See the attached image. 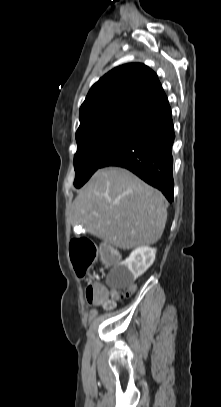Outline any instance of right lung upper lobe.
<instances>
[{
  "label": "right lung upper lobe",
  "instance_id": "right-lung-upper-lobe-1",
  "mask_svg": "<svg viewBox=\"0 0 221 407\" xmlns=\"http://www.w3.org/2000/svg\"><path fill=\"white\" fill-rule=\"evenodd\" d=\"M168 104L157 75L149 67L140 63L119 66L89 90L80 107L76 139L112 125H139Z\"/></svg>",
  "mask_w": 221,
  "mask_h": 407
}]
</instances>
